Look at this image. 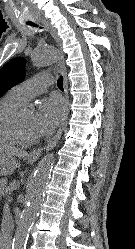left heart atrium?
Instances as JSON below:
<instances>
[{
	"instance_id": "obj_1",
	"label": "left heart atrium",
	"mask_w": 135,
	"mask_h": 249,
	"mask_svg": "<svg viewBox=\"0 0 135 249\" xmlns=\"http://www.w3.org/2000/svg\"><path fill=\"white\" fill-rule=\"evenodd\" d=\"M65 112V103L57 95L44 99L35 115V128L38 135L51 133L62 120Z\"/></svg>"
}]
</instances>
